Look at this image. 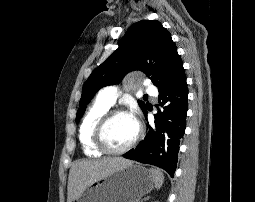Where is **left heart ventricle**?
I'll return each instance as SVG.
<instances>
[{
	"label": "left heart ventricle",
	"instance_id": "1",
	"mask_svg": "<svg viewBox=\"0 0 255 202\" xmlns=\"http://www.w3.org/2000/svg\"><path fill=\"white\" fill-rule=\"evenodd\" d=\"M137 132V124L129 115H117L108 124L106 141L110 147L118 149L128 144Z\"/></svg>",
	"mask_w": 255,
	"mask_h": 202
}]
</instances>
